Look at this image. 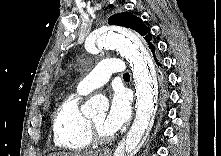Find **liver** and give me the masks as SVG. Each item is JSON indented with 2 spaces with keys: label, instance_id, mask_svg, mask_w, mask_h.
I'll use <instances>...</instances> for the list:
<instances>
[{
  "label": "liver",
  "instance_id": "6515ba94",
  "mask_svg": "<svg viewBox=\"0 0 221 156\" xmlns=\"http://www.w3.org/2000/svg\"><path fill=\"white\" fill-rule=\"evenodd\" d=\"M49 156H98V152L89 151V152H58L49 154Z\"/></svg>",
  "mask_w": 221,
  "mask_h": 156
}]
</instances>
